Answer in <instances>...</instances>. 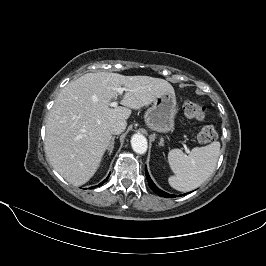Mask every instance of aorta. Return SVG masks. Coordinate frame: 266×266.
<instances>
[{
  "mask_svg": "<svg viewBox=\"0 0 266 266\" xmlns=\"http://www.w3.org/2000/svg\"><path fill=\"white\" fill-rule=\"evenodd\" d=\"M131 146L138 154H144L147 151V139L141 134H134L131 138Z\"/></svg>",
  "mask_w": 266,
  "mask_h": 266,
  "instance_id": "aorta-1",
  "label": "aorta"
}]
</instances>
